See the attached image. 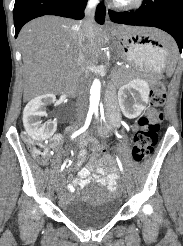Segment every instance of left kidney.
I'll return each mask as SVG.
<instances>
[{
  "instance_id": "5707ae66",
  "label": "left kidney",
  "mask_w": 183,
  "mask_h": 246,
  "mask_svg": "<svg viewBox=\"0 0 183 246\" xmlns=\"http://www.w3.org/2000/svg\"><path fill=\"white\" fill-rule=\"evenodd\" d=\"M149 84L143 79H133L118 91L122 113L130 119L138 117L145 109L149 98Z\"/></svg>"
}]
</instances>
